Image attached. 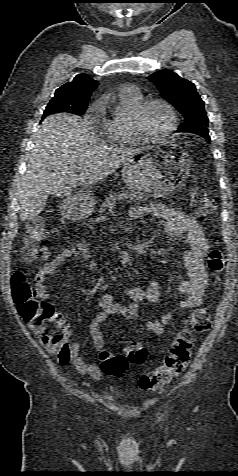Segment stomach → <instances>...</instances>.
Wrapping results in <instances>:
<instances>
[{
  "label": "stomach",
  "instance_id": "obj_1",
  "mask_svg": "<svg viewBox=\"0 0 238 476\" xmlns=\"http://www.w3.org/2000/svg\"><path fill=\"white\" fill-rule=\"evenodd\" d=\"M190 171L188 153L177 144H146L133 152L131 161L123 164L122 179L126 186L147 196L164 197L178 190ZM95 205L90 189L70 195L64 201V214L72 219L89 216Z\"/></svg>",
  "mask_w": 238,
  "mask_h": 476
}]
</instances>
